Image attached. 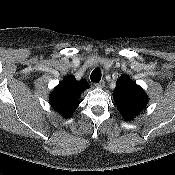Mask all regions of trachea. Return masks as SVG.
Wrapping results in <instances>:
<instances>
[{
	"mask_svg": "<svg viewBox=\"0 0 175 175\" xmlns=\"http://www.w3.org/2000/svg\"><path fill=\"white\" fill-rule=\"evenodd\" d=\"M101 76L102 74L100 68H95L91 73L90 79L92 82L98 83L101 80Z\"/></svg>",
	"mask_w": 175,
	"mask_h": 175,
	"instance_id": "obj_1",
	"label": "trachea"
}]
</instances>
